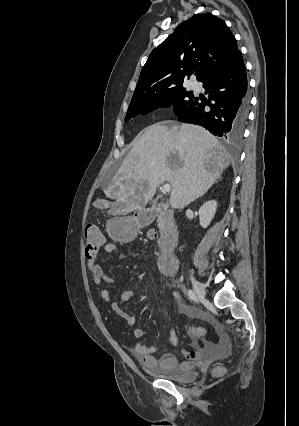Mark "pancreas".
Here are the masks:
<instances>
[{
	"instance_id": "pancreas-1",
	"label": "pancreas",
	"mask_w": 299,
	"mask_h": 426,
	"mask_svg": "<svg viewBox=\"0 0 299 426\" xmlns=\"http://www.w3.org/2000/svg\"><path fill=\"white\" fill-rule=\"evenodd\" d=\"M158 226L160 228V232H163V227L161 226V221L160 220H158Z\"/></svg>"
}]
</instances>
